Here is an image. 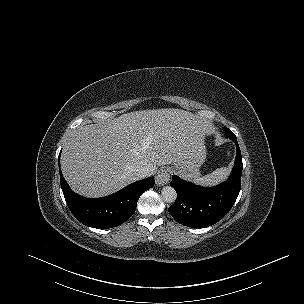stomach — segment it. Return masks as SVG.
<instances>
[{
    "label": "stomach",
    "instance_id": "1",
    "mask_svg": "<svg viewBox=\"0 0 304 304\" xmlns=\"http://www.w3.org/2000/svg\"><path fill=\"white\" fill-rule=\"evenodd\" d=\"M205 159L204 149L191 152L182 163L174 165L173 171L180 177L190 181H198L200 177L199 168Z\"/></svg>",
    "mask_w": 304,
    "mask_h": 304
}]
</instances>
